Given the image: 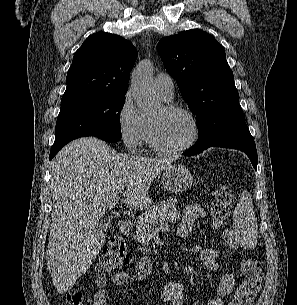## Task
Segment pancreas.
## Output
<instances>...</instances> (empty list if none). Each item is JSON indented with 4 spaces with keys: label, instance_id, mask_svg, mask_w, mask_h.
<instances>
[{
    "label": "pancreas",
    "instance_id": "obj_1",
    "mask_svg": "<svg viewBox=\"0 0 297 305\" xmlns=\"http://www.w3.org/2000/svg\"><path fill=\"white\" fill-rule=\"evenodd\" d=\"M175 204L176 200L169 198L146 210L137 221L136 240L143 245H148L158 232L157 226L159 224H164L166 221L172 224L176 223L180 219V214ZM140 250L143 251L145 249L140 248Z\"/></svg>",
    "mask_w": 297,
    "mask_h": 305
}]
</instances>
